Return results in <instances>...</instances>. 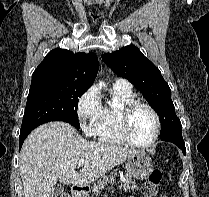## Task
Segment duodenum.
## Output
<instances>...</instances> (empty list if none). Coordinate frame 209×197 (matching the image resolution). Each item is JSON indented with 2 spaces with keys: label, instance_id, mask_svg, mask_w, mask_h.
I'll return each instance as SVG.
<instances>
[{
  "label": "duodenum",
  "instance_id": "duodenum-1",
  "mask_svg": "<svg viewBox=\"0 0 209 197\" xmlns=\"http://www.w3.org/2000/svg\"><path fill=\"white\" fill-rule=\"evenodd\" d=\"M73 192H74V195H76L77 197H80L85 194L86 190H85L84 186L76 185L73 188Z\"/></svg>",
  "mask_w": 209,
  "mask_h": 197
}]
</instances>
